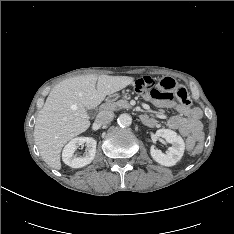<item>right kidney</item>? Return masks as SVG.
I'll return each mask as SVG.
<instances>
[{
	"label": "right kidney",
	"mask_w": 234,
	"mask_h": 234,
	"mask_svg": "<svg viewBox=\"0 0 234 234\" xmlns=\"http://www.w3.org/2000/svg\"><path fill=\"white\" fill-rule=\"evenodd\" d=\"M83 144L87 146V153L83 157H77L75 151ZM96 144V140L91 137H77L72 139L63 149V162L72 168H81L88 165L95 157Z\"/></svg>",
	"instance_id": "right-kidney-1"
}]
</instances>
